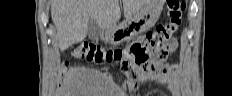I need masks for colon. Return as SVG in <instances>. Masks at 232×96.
Returning <instances> with one entry per match:
<instances>
[{"instance_id":"5ec220e1","label":"colon","mask_w":232,"mask_h":96,"mask_svg":"<svg viewBox=\"0 0 232 96\" xmlns=\"http://www.w3.org/2000/svg\"><path fill=\"white\" fill-rule=\"evenodd\" d=\"M184 10L181 0H167V20L157 26L156 30L147 35L143 45L134 44L126 49L103 48L90 42L81 43L73 55L94 63L121 64L124 70L132 77L146 72H160L163 61L170 52L167 44L178 30ZM150 52L154 62L148 57Z\"/></svg>"}]
</instances>
